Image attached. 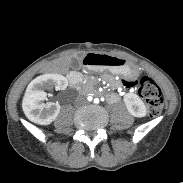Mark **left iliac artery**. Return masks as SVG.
<instances>
[{"label":"left iliac artery","instance_id":"44dca946","mask_svg":"<svg viewBox=\"0 0 183 183\" xmlns=\"http://www.w3.org/2000/svg\"><path fill=\"white\" fill-rule=\"evenodd\" d=\"M94 103H96V104L99 103V99L98 98H95L94 99Z\"/></svg>","mask_w":183,"mask_h":183}]
</instances>
